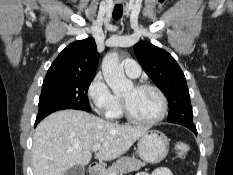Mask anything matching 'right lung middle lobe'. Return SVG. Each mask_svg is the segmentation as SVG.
<instances>
[{"label":"right lung middle lobe","mask_w":233,"mask_h":175,"mask_svg":"<svg viewBox=\"0 0 233 175\" xmlns=\"http://www.w3.org/2000/svg\"><path fill=\"white\" fill-rule=\"evenodd\" d=\"M94 76H72L44 79L37 117L63 109L89 112L87 91Z\"/></svg>","instance_id":"right-lung-middle-lobe-1"}]
</instances>
